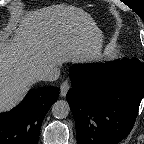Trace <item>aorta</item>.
Returning a JSON list of instances; mask_svg holds the SVG:
<instances>
[{"mask_svg":"<svg viewBox=\"0 0 144 144\" xmlns=\"http://www.w3.org/2000/svg\"><path fill=\"white\" fill-rule=\"evenodd\" d=\"M70 106L65 100H58L52 106V114L57 119H64L69 115Z\"/></svg>","mask_w":144,"mask_h":144,"instance_id":"aorta-1","label":"aorta"}]
</instances>
